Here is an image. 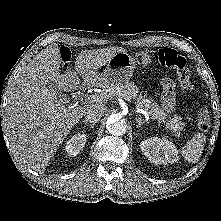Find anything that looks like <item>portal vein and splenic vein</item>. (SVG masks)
<instances>
[{
	"mask_svg": "<svg viewBox=\"0 0 221 221\" xmlns=\"http://www.w3.org/2000/svg\"><path fill=\"white\" fill-rule=\"evenodd\" d=\"M119 96H121L124 100L131 102V98L127 95V94H120ZM107 95L100 93V94H95V95H91L89 97V99H91L92 101H102L107 99ZM76 106V104H75ZM136 113H142L146 119L149 118V114L147 111L143 110V109H136Z\"/></svg>",
	"mask_w": 221,
	"mask_h": 221,
	"instance_id": "18ae733b",
	"label": "portal vein and splenic vein"
}]
</instances>
